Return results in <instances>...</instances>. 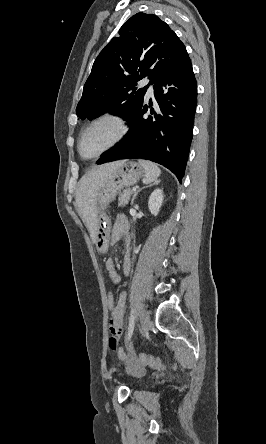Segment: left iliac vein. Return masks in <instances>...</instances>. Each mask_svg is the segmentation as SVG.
Wrapping results in <instances>:
<instances>
[{
	"instance_id": "left-iliac-vein-1",
	"label": "left iliac vein",
	"mask_w": 266,
	"mask_h": 444,
	"mask_svg": "<svg viewBox=\"0 0 266 444\" xmlns=\"http://www.w3.org/2000/svg\"><path fill=\"white\" fill-rule=\"evenodd\" d=\"M140 320H141V333L145 335L148 333L150 329L151 321L148 311L144 308H142L140 311Z\"/></svg>"
}]
</instances>
